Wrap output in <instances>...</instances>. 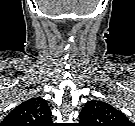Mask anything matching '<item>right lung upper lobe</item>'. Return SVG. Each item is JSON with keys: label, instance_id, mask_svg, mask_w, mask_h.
Masks as SVG:
<instances>
[{"label": "right lung upper lobe", "instance_id": "right-lung-upper-lobe-1", "mask_svg": "<svg viewBox=\"0 0 135 126\" xmlns=\"http://www.w3.org/2000/svg\"><path fill=\"white\" fill-rule=\"evenodd\" d=\"M51 110L41 97L31 98L16 106L1 123L2 126H50Z\"/></svg>", "mask_w": 135, "mask_h": 126}]
</instances>
